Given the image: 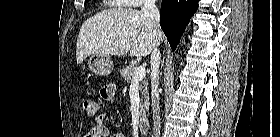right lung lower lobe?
Here are the masks:
<instances>
[{
    "instance_id": "98d812e1",
    "label": "right lung lower lobe",
    "mask_w": 280,
    "mask_h": 137,
    "mask_svg": "<svg viewBox=\"0 0 280 137\" xmlns=\"http://www.w3.org/2000/svg\"><path fill=\"white\" fill-rule=\"evenodd\" d=\"M199 0H162L160 26L172 50H175Z\"/></svg>"
}]
</instances>
